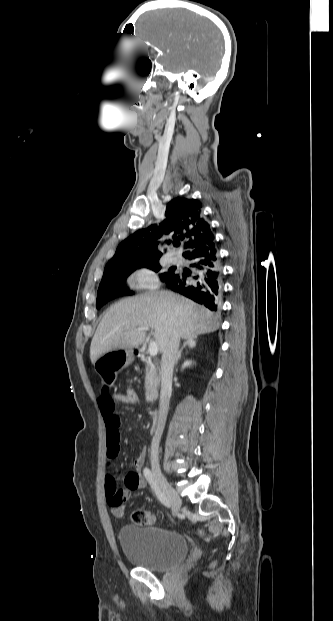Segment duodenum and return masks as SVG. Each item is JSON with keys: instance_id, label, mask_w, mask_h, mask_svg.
I'll return each mask as SVG.
<instances>
[{"instance_id": "obj_1", "label": "duodenum", "mask_w": 333, "mask_h": 621, "mask_svg": "<svg viewBox=\"0 0 333 621\" xmlns=\"http://www.w3.org/2000/svg\"><path fill=\"white\" fill-rule=\"evenodd\" d=\"M138 356H140V357H141V356H142V354H141V353H138ZM156 426H157V419H156V417H154V418H153L152 425H151V432H152V433L156 430Z\"/></svg>"}]
</instances>
